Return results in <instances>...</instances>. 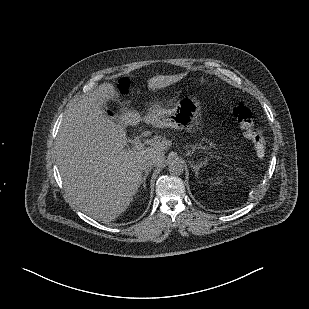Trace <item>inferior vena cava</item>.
<instances>
[{
    "mask_svg": "<svg viewBox=\"0 0 309 309\" xmlns=\"http://www.w3.org/2000/svg\"><path fill=\"white\" fill-rule=\"evenodd\" d=\"M154 165L155 164L153 162L149 161V162L144 163L142 169H143V171L148 172V171H150L152 169V167Z\"/></svg>",
    "mask_w": 309,
    "mask_h": 309,
    "instance_id": "obj_1",
    "label": "inferior vena cava"
}]
</instances>
